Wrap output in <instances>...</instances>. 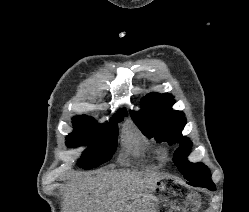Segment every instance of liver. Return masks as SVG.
I'll return each instance as SVG.
<instances>
[{
	"label": "liver",
	"mask_w": 249,
	"mask_h": 212,
	"mask_svg": "<svg viewBox=\"0 0 249 212\" xmlns=\"http://www.w3.org/2000/svg\"><path fill=\"white\" fill-rule=\"evenodd\" d=\"M162 176L137 170L74 176L65 194V212H150L152 192Z\"/></svg>",
	"instance_id": "1"
}]
</instances>
